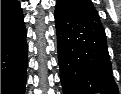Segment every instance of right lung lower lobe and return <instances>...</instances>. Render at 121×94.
<instances>
[{
	"instance_id": "obj_1",
	"label": "right lung lower lobe",
	"mask_w": 121,
	"mask_h": 94,
	"mask_svg": "<svg viewBox=\"0 0 121 94\" xmlns=\"http://www.w3.org/2000/svg\"><path fill=\"white\" fill-rule=\"evenodd\" d=\"M28 47L19 1L1 8V94H25Z\"/></svg>"
}]
</instances>
